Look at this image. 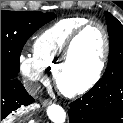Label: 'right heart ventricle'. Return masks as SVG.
Returning <instances> with one entry per match:
<instances>
[{
  "label": "right heart ventricle",
  "mask_w": 123,
  "mask_h": 123,
  "mask_svg": "<svg viewBox=\"0 0 123 123\" xmlns=\"http://www.w3.org/2000/svg\"><path fill=\"white\" fill-rule=\"evenodd\" d=\"M88 21L84 17H71L56 22L35 39L33 56L44 69L54 71L70 36Z\"/></svg>",
  "instance_id": "obj_1"
}]
</instances>
